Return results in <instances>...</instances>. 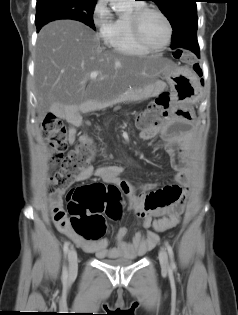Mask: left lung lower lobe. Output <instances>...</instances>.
I'll list each match as a JSON object with an SVG mask.
<instances>
[{
  "label": "left lung lower lobe",
  "mask_w": 238,
  "mask_h": 315,
  "mask_svg": "<svg viewBox=\"0 0 238 315\" xmlns=\"http://www.w3.org/2000/svg\"><path fill=\"white\" fill-rule=\"evenodd\" d=\"M171 48H185L189 49L194 52L198 57H200L199 45L197 38L195 39H188L180 42H173Z\"/></svg>",
  "instance_id": "left-lung-lower-lobe-1"
}]
</instances>
